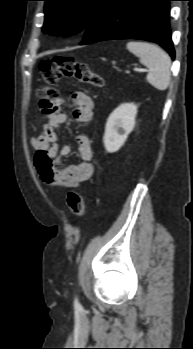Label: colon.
Returning a JSON list of instances; mask_svg holds the SVG:
<instances>
[{
    "instance_id": "colon-1",
    "label": "colon",
    "mask_w": 193,
    "mask_h": 349,
    "mask_svg": "<svg viewBox=\"0 0 193 349\" xmlns=\"http://www.w3.org/2000/svg\"><path fill=\"white\" fill-rule=\"evenodd\" d=\"M39 70L43 80V86L39 88L37 97L40 108L45 113H51L55 109L59 93L55 85L63 78H74L81 83L94 87L104 85L103 77L93 72L86 63L79 62L71 56L59 55L42 61ZM67 203L70 210L77 216L83 217L86 212L85 200L77 191H70L67 195Z\"/></svg>"
}]
</instances>
